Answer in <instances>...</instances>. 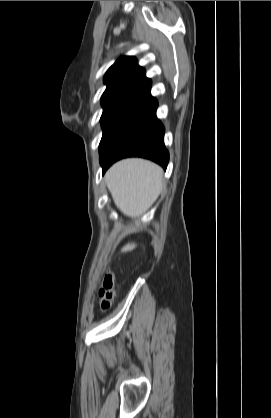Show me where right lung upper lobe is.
<instances>
[{
	"mask_svg": "<svg viewBox=\"0 0 271 418\" xmlns=\"http://www.w3.org/2000/svg\"><path fill=\"white\" fill-rule=\"evenodd\" d=\"M104 82L107 88L101 103L127 99L157 105L150 94L151 80L134 57L119 58L106 72Z\"/></svg>",
	"mask_w": 271,
	"mask_h": 418,
	"instance_id": "obj_1",
	"label": "right lung upper lobe"
}]
</instances>
